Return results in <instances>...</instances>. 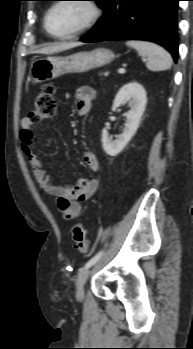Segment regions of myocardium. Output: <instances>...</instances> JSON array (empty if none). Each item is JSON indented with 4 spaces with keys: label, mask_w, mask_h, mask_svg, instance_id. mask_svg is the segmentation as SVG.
Masks as SVG:
<instances>
[{
    "label": "myocardium",
    "mask_w": 193,
    "mask_h": 349,
    "mask_svg": "<svg viewBox=\"0 0 193 349\" xmlns=\"http://www.w3.org/2000/svg\"><path fill=\"white\" fill-rule=\"evenodd\" d=\"M66 2L85 3L89 7V9L91 10V17L83 26L76 29L72 33H69L66 35H56L49 29V26H48L49 15L55 7H57L58 5H60L62 3H66ZM101 15H102V9H101L100 5L95 0H74V1L73 0H58V1L54 2L45 12L43 24H44V28H45L46 32L52 38L58 39V40H69V39H73V38H76V37L82 35L86 31H88L90 28H92L99 21Z\"/></svg>",
    "instance_id": "obj_1"
}]
</instances>
